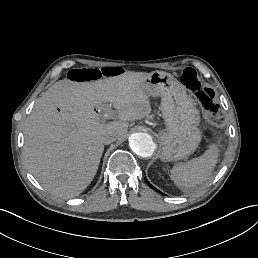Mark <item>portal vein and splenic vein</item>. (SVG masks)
I'll use <instances>...</instances> for the list:
<instances>
[{
    "label": "portal vein and splenic vein",
    "mask_w": 258,
    "mask_h": 258,
    "mask_svg": "<svg viewBox=\"0 0 258 258\" xmlns=\"http://www.w3.org/2000/svg\"><path fill=\"white\" fill-rule=\"evenodd\" d=\"M104 112H105L104 113L105 116H109L110 117L112 110L108 108V109H105Z\"/></svg>",
    "instance_id": "portal-vein-and-splenic-vein-1"
}]
</instances>
